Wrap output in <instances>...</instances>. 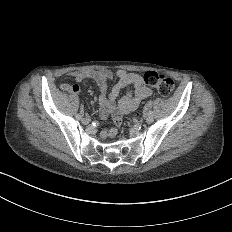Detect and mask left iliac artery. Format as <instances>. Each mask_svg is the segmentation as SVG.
Returning a JSON list of instances; mask_svg holds the SVG:
<instances>
[{
    "mask_svg": "<svg viewBox=\"0 0 232 232\" xmlns=\"http://www.w3.org/2000/svg\"><path fill=\"white\" fill-rule=\"evenodd\" d=\"M154 116V113L153 112H150L149 113V117H153Z\"/></svg>",
    "mask_w": 232,
    "mask_h": 232,
    "instance_id": "1",
    "label": "left iliac artery"
}]
</instances>
